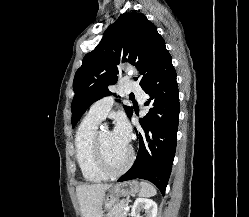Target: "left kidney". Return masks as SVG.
<instances>
[{
  "label": "left kidney",
  "mask_w": 249,
  "mask_h": 217,
  "mask_svg": "<svg viewBox=\"0 0 249 217\" xmlns=\"http://www.w3.org/2000/svg\"><path fill=\"white\" fill-rule=\"evenodd\" d=\"M145 210L146 217H156L157 216V204L152 199L148 198H137L132 206L131 216L141 217L139 212Z\"/></svg>",
  "instance_id": "1"
}]
</instances>
